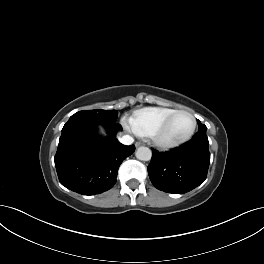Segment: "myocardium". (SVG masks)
<instances>
[{
	"label": "myocardium",
	"instance_id": "myocardium-1",
	"mask_svg": "<svg viewBox=\"0 0 264 264\" xmlns=\"http://www.w3.org/2000/svg\"><path fill=\"white\" fill-rule=\"evenodd\" d=\"M187 114L190 116L192 120V127L190 131L183 137L174 139V140H168L164 137L165 132L167 131L172 119L178 115V114ZM197 127V121L195 116L188 110L180 109V110H175L172 112L170 115L167 116V118L163 121V123L155 130V132L152 135V141L153 143L161 149H172L179 147L185 143H187L195 134Z\"/></svg>",
	"mask_w": 264,
	"mask_h": 264
}]
</instances>
